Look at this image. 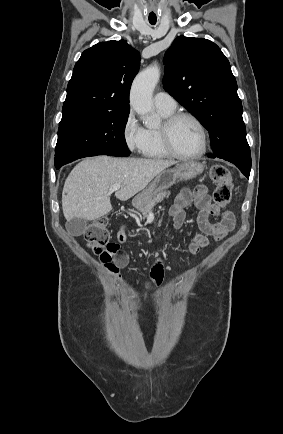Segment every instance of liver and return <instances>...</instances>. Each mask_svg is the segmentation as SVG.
I'll return each mask as SVG.
<instances>
[{
    "label": "liver",
    "instance_id": "6515ba94",
    "mask_svg": "<svg viewBox=\"0 0 283 434\" xmlns=\"http://www.w3.org/2000/svg\"><path fill=\"white\" fill-rule=\"evenodd\" d=\"M162 159L97 156L79 162L68 175L62 194L67 221L95 220L112 210L109 188L120 184L116 198L126 201L144 190L162 171L176 164Z\"/></svg>",
    "mask_w": 283,
    "mask_h": 434
}]
</instances>
